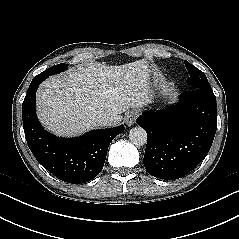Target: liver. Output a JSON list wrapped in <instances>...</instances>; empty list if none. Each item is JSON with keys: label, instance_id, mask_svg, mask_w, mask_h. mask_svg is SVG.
<instances>
[{"label": "liver", "instance_id": "6515ba94", "mask_svg": "<svg viewBox=\"0 0 239 239\" xmlns=\"http://www.w3.org/2000/svg\"><path fill=\"white\" fill-rule=\"evenodd\" d=\"M148 67L144 61L119 66L92 62L45 80L37 91V114L46 129L72 137L98 127L96 117L113 118L148 101Z\"/></svg>", "mask_w": 239, "mask_h": 239}]
</instances>
